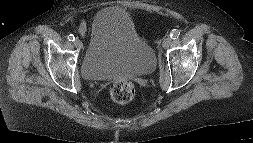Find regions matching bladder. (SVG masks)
<instances>
[{"mask_svg":"<svg viewBox=\"0 0 253 143\" xmlns=\"http://www.w3.org/2000/svg\"><path fill=\"white\" fill-rule=\"evenodd\" d=\"M155 67L153 48L137 33L133 19L124 9L109 6L94 16L81 63L86 79L140 77L152 73Z\"/></svg>","mask_w":253,"mask_h":143,"instance_id":"1","label":"bladder"}]
</instances>
